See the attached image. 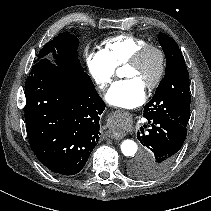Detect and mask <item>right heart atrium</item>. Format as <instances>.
I'll return each instance as SVG.
<instances>
[{
	"label": "right heart atrium",
	"instance_id": "1",
	"mask_svg": "<svg viewBox=\"0 0 211 211\" xmlns=\"http://www.w3.org/2000/svg\"><path fill=\"white\" fill-rule=\"evenodd\" d=\"M90 76L95 85L105 90L114 80L117 67L103 50H88L85 55Z\"/></svg>",
	"mask_w": 211,
	"mask_h": 211
}]
</instances>
